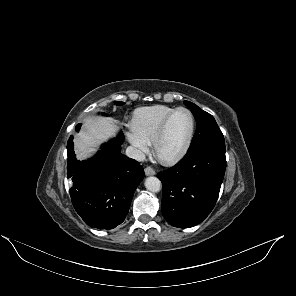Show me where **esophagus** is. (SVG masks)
Returning a JSON list of instances; mask_svg holds the SVG:
<instances>
[{"mask_svg":"<svg viewBox=\"0 0 296 296\" xmlns=\"http://www.w3.org/2000/svg\"><path fill=\"white\" fill-rule=\"evenodd\" d=\"M144 172H145V175H147V176H152V175L156 174L155 170L153 168H151L150 166L146 167L144 169Z\"/></svg>","mask_w":296,"mask_h":296,"instance_id":"obj_1","label":"esophagus"}]
</instances>
